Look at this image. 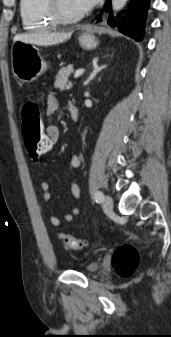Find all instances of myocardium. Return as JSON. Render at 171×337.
Listing matches in <instances>:
<instances>
[{"instance_id": "1", "label": "myocardium", "mask_w": 171, "mask_h": 337, "mask_svg": "<svg viewBox=\"0 0 171 337\" xmlns=\"http://www.w3.org/2000/svg\"><path fill=\"white\" fill-rule=\"evenodd\" d=\"M47 5L51 16L58 24H71L78 22L86 14L85 11L74 15L67 14L61 6L60 0H47Z\"/></svg>"}]
</instances>
